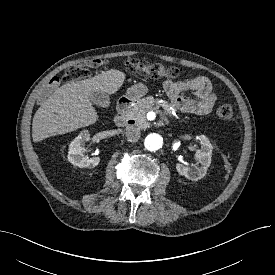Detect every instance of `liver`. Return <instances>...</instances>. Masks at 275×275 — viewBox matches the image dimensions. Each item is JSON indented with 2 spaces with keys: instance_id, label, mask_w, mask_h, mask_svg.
Returning a JSON list of instances; mask_svg holds the SVG:
<instances>
[{
  "instance_id": "obj_1",
  "label": "liver",
  "mask_w": 275,
  "mask_h": 275,
  "mask_svg": "<svg viewBox=\"0 0 275 275\" xmlns=\"http://www.w3.org/2000/svg\"><path fill=\"white\" fill-rule=\"evenodd\" d=\"M125 74L111 69L92 78L62 85L36 111L32 123L34 142L94 124L98 114L91 102L94 91L116 93Z\"/></svg>"
}]
</instances>
